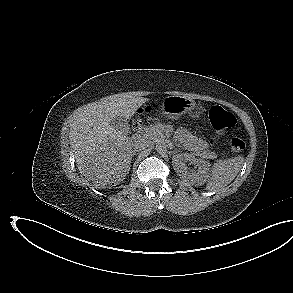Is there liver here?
<instances>
[{"mask_svg": "<svg viewBox=\"0 0 293 293\" xmlns=\"http://www.w3.org/2000/svg\"><path fill=\"white\" fill-rule=\"evenodd\" d=\"M132 93L115 94L80 108L70 122L69 144L80 173L96 186L121 183L130 170L133 141L115 130V117L130 119L147 101Z\"/></svg>", "mask_w": 293, "mask_h": 293, "instance_id": "liver-1", "label": "liver"}]
</instances>
